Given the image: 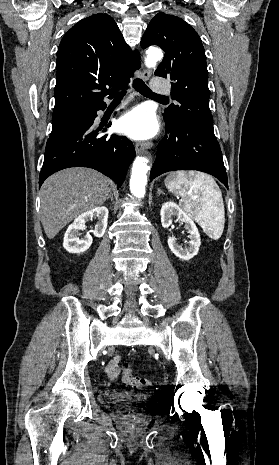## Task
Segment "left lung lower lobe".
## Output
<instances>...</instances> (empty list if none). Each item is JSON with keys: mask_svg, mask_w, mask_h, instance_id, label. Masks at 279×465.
<instances>
[{"mask_svg": "<svg viewBox=\"0 0 279 465\" xmlns=\"http://www.w3.org/2000/svg\"><path fill=\"white\" fill-rule=\"evenodd\" d=\"M166 131L157 146L150 180L168 171L198 170L215 176L228 188L222 153L214 134L189 122L166 124Z\"/></svg>", "mask_w": 279, "mask_h": 465, "instance_id": "1", "label": "left lung lower lobe"}]
</instances>
